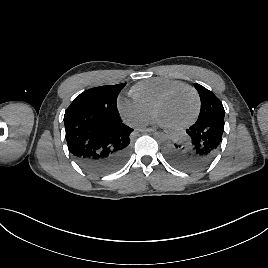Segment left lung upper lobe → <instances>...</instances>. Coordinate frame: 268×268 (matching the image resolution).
<instances>
[{
    "mask_svg": "<svg viewBox=\"0 0 268 268\" xmlns=\"http://www.w3.org/2000/svg\"><path fill=\"white\" fill-rule=\"evenodd\" d=\"M200 99L201 110L197 122L199 121H215L219 117L224 118L225 111L221 101L208 89L195 83Z\"/></svg>",
    "mask_w": 268,
    "mask_h": 268,
    "instance_id": "obj_1",
    "label": "left lung upper lobe"
}]
</instances>
